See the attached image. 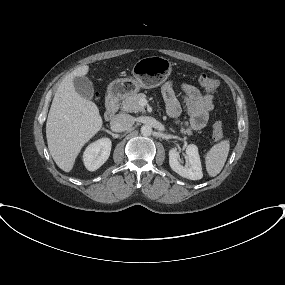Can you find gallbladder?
Here are the masks:
<instances>
[{
  "mask_svg": "<svg viewBox=\"0 0 285 285\" xmlns=\"http://www.w3.org/2000/svg\"><path fill=\"white\" fill-rule=\"evenodd\" d=\"M73 84L76 92L86 99H92L94 89L92 82L86 76H77L73 79Z\"/></svg>",
  "mask_w": 285,
  "mask_h": 285,
  "instance_id": "obj_1",
  "label": "gallbladder"
}]
</instances>
